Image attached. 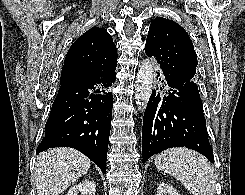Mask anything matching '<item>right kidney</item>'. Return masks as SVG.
I'll return each mask as SVG.
<instances>
[{
  "label": "right kidney",
  "mask_w": 245,
  "mask_h": 195,
  "mask_svg": "<svg viewBox=\"0 0 245 195\" xmlns=\"http://www.w3.org/2000/svg\"><path fill=\"white\" fill-rule=\"evenodd\" d=\"M96 185L93 181L85 180L72 186L66 195H95Z\"/></svg>",
  "instance_id": "ca27d5eb"
}]
</instances>
